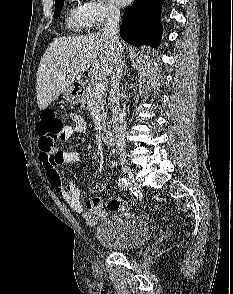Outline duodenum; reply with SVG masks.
Masks as SVG:
<instances>
[{
  "label": "duodenum",
  "instance_id": "obj_1",
  "mask_svg": "<svg viewBox=\"0 0 233 294\" xmlns=\"http://www.w3.org/2000/svg\"><path fill=\"white\" fill-rule=\"evenodd\" d=\"M101 137L104 144L110 145V146L114 144V136L110 130L104 129L102 131Z\"/></svg>",
  "mask_w": 233,
  "mask_h": 294
}]
</instances>
